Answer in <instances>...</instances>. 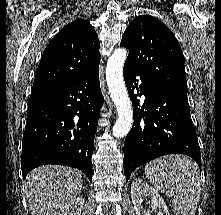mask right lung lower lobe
<instances>
[{"instance_id": "obj_1", "label": "right lung lower lobe", "mask_w": 221, "mask_h": 215, "mask_svg": "<svg viewBox=\"0 0 221 215\" xmlns=\"http://www.w3.org/2000/svg\"><path fill=\"white\" fill-rule=\"evenodd\" d=\"M99 64L55 88L32 93L22 140L23 178L32 169L59 164L92 177L94 137L103 104Z\"/></svg>"}]
</instances>
